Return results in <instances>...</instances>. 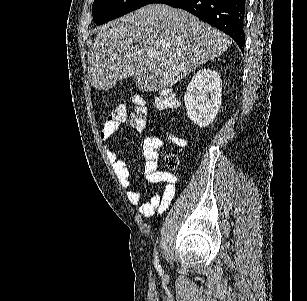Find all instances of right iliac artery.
Instances as JSON below:
<instances>
[{
    "label": "right iliac artery",
    "mask_w": 307,
    "mask_h": 301,
    "mask_svg": "<svg viewBox=\"0 0 307 301\" xmlns=\"http://www.w3.org/2000/svg\"><path fill=\"white\" fill-rule=\"evenodd\" d=\"M155 267H156L157 269H160L158 256L155 257Z\"/></svg>",
    "instance_id": "obj_1"
}]
</instances>
